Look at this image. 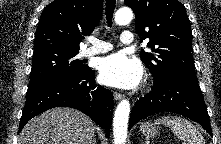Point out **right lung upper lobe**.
Here are the masks:
<instances>
[{"instance_id": "right-lung-upper-lobe-1", "label": "right lung upper lobe", "mask_w": 221, "mask_h": 144, "mask_svg": "<svg viewBox=\"0 0 221 144\" xmlns=\"http://www.w3.org/2000/svg\"><path fill=\"white\" fill-rule=\"evenodd\" d=\"M102 9L103 0H54L41 14L34 53L46 50L79 52L81 40L99 23Z\"/></svg>"}]
</instances>
